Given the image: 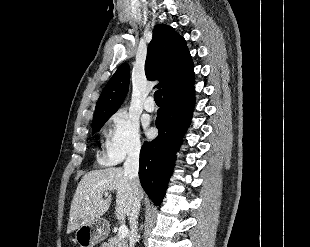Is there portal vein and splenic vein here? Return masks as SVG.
I'll list each match as a JSON object with an SVG mask.
<instances>
[{"instance_id": "obj_1", "label": "portal vein and splenic vein", "mask_w": 310, "mask_h": 247, "mask_svg": "<svg viewBox=\"0 0 310 247\" xmlns=\"http://www.w3.org/2000/svg\"><path fill=\"white\" fill-rule=\"evenodd\" d=\"M128 235V228L125 225H121L118 230V237L124 239Z\"/></svg>"}]
</instances>
